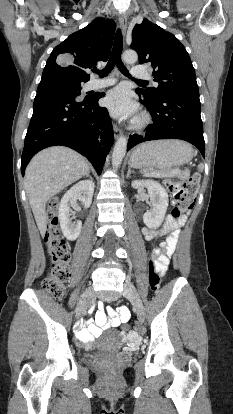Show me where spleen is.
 Returning a JSON list of instances; mask_svg holds the SVG:
<instances>
[{
  "label": "spleen",
  "instance_id": "1",
  "mask_svg": "<svg viewBox=\"0 0 233 414\" xmlns=\"http://www.w3.org/2000/svg\"><path fill=\"white\" fill-rule=\"evenodd\" d=\"M198 169H199L200 171H202V169H203L202 164L198 165Z\"/></svg>",
  "mask_w": 233,
  "mask_h": 414
}]
</instances>
